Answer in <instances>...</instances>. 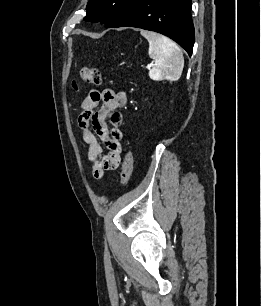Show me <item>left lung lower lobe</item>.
<instances>
[{"label": "left lung lower lobe", "mask_w": 261, "mask_h": 306, "mask_svg": "<svg viewBox=\"0 0 261 306\" xmlns=\"http://www.w3.org/2000/svg\"><path fill=\"white\" fill-rule=\"evenodd\" d=\"M136 27L172 38L191 56L194 25L191 0H133L124 15L112 26Z\"/></svg>", "instance_id": "0a47b994"}]
</instances>
